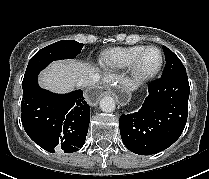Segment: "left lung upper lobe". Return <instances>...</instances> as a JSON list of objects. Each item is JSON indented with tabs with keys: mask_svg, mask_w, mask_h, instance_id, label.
Returning <instances> with one entry per match:
<instances>
[{
	"mask_svg": "<svg viewBox=\"0 0 209 179\" xmlns=\"http://www.w3.org/2000/svg\"><path fill=\"white\" fill-rule=\"evenodd\" d=\"M165 53L166 65L161 77H168L174 74L186 72L185 67L179 58L167 47L163 46Z\"/></svg>",
	"mask_w": 209,
	"mask_h": 179,
	"instance_id": "5c2ea615",
	"label": "left lung upper lobe"
}]
</instances>
